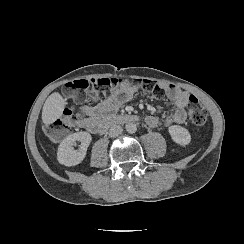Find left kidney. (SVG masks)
Segmentation results:
<instances>
[{
	"mask_svg": "<svg viewBox=\"0 0 244 244\" xmlns=\"http://www.w3.org/2000/svg\"><path fill=\"white\" fill-rule=\"evenodd\" d=\"M167 131L175 144L187 146L191 143V135L187 128L181 125H171Z\"/></svg>",
	"mask_w": 244,
	"mask_h": 244,
	"instance_id": "1",
	"label": "left kidney"
}]
</instances>
